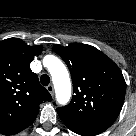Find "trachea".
Masks as SVG:
<instances>
[{
  "label": "trachea",
  "instance_id": "1",
  "mask_svg": "<svg viewBox=\"0 0 136 136\" xmlns=\"http://www.w3.org/2000/svg\"><path fill=\"white\" fill-rule=\"evenodd\" d=\"M40 82L43 86H47L50 83V77L47 74H43L40 77Z\"/></svg>",
  "mask_w": 136,
  "mask_h": 136
}]
</instances>
